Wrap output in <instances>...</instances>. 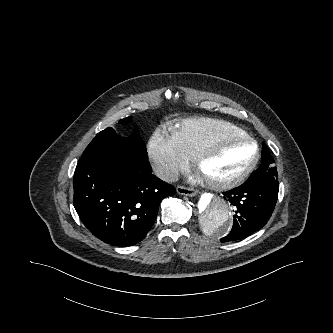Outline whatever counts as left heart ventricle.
Wrapping results in <instances>:
<instances>
[{
    "instance_id": "obj_1",
    "label": "left heart ventricle",
    "mask_w": 333,
    "mask_h": 333,
    "mask_svg": "<svg viewBox=\"0 0 333 333\" xmlns=\"http://www.w3.org/2000/svg\"><path fill=\"white\" fill-rule=\"evenodd\" d=\"M254 147L245 141L229 140L220 143L199 168L202 177L225 180L239 173L252 159Z\"/></svg>"
}]
</instances>
